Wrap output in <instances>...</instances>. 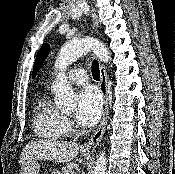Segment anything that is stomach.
Masks as SVG:
<instances>
[{
    "label": "stomach",
    "instance_id": "1",
    "mask_svg": "<svg viewBox=\"0 0 175 174\" xmlns=\"http://www.w3.org/2000/svg\"><path fill=\"white\" fill-rule=\"evenodd\" d=\"M40 166L36 160L27 162L22 165L20 174H39ZM60 174L58 171L56 172Z\"/></svg>",
    "mask_w": 175,
    "mask_h": 174
}]
</instances>
